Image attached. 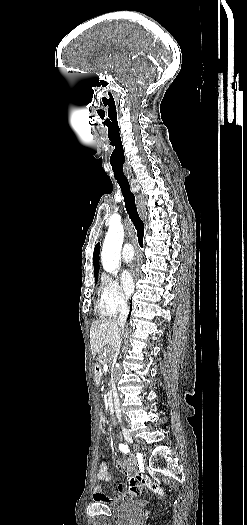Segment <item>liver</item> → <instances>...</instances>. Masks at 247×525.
Returning <instances> with one entry per match:
<instances>
[{
    "label": "liver",
    "instance_id": "1",
    "mask_svg": "<svg viewBox=\"0 0 247 525\" xmlns=\"http://www.w3.org/2000/svg\"><path fill=\"white\" fill-rule=\"evenodd\" d=\"M92 339L95 341L93 355L105 349V347H114L117 349V343L123 335L121 325H118L116 319H101L94 321L91 325Z\"/></svg>",
    "mask_w": 247,
    "mask_h": 525
}]
</instances>
